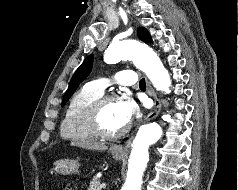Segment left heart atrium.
Here are the masks:
<instances>
[{"mask_svg": "<svg viewBox=\"0 0 238 190\" xmlns=\"http://www.w3.org/2000/svg\"><path fill=\"white\" fill-rule=\"evenodd\" d=\"M122 115L129 122L139 111L137 103L131 97H123L119 100Z\"/></svg>", "mask_w": 238, "mask_h": 190, "instance_id": "left-heart-atrium-1", "label": "left heart atrium"}]
</instances>
